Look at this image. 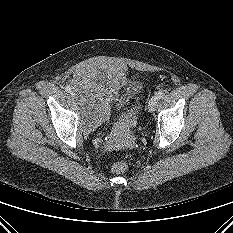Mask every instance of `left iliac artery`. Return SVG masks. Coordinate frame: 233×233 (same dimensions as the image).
Segmentation results:
<instances>
[{"label":"left iliac artery","mask_w":233,"mask_h":233,"mask_svg":"<svg viewBox=\"0 0 233 233\" xmlns=\"http://www.w3.org/2000/svg\"><path fill=\"white\" fill-rule=\"evenodd\" d=\"M164 96V92L163 91H159L155 94V96L153 97L155 100H160L162 97Z\"/></svg>","instance_id":"obj_1"}]
</instances>
